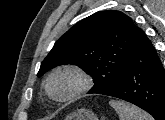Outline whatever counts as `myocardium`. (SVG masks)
Wrapping results in <instances>:
<instances>
[{"mask_svg":"<svg viewBox=\"0 0 165 120\" xmlns=\"http://www.w3.org/2000/svg\"><path fill=\"white\" fill-rule=\"evenodd\" d=\"M61 74L73 75L77 80V86L74 88L73 91H71L66 96L57 97L52 92L51 84H52L53 79ZM91 85H92V79L85 70H83L81 67L76 66V65L66 64V65H62L55 68L49 74L46 80L45 89H46L47 94L53 100L58 101V102H67L87 92L91 88Z\"/></svg>","mask_w":165,"mask_h":120,"instance_id":"1","label":"myocardium"}]
</instances>
